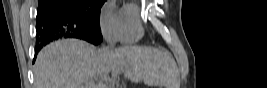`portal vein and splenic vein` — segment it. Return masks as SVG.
Here are the masks:
<instances>
[{
	"label": "portal vein and splenic vein",
	"mask_w": 267,
	"mask_h": 88,
	"mask_svg": "<svg viewBox=\"0 0 267 88\" xmlns=\"http://www.w3.org/2000/svg\"><path fill=\"white\" fill-rule=\"evenodd\" d=\"M117 75H118V70H112V79H115L116 77H117ZM97 79H100L101 81H107V80H109V81H111L112 79H109L108 77H107V75H104V76H98V77H96ZM99 87H101V86H99Z\"/></svg>",
	"instance_id": "portal-vein-and-splenic-vein-1"
}]
</instances>
